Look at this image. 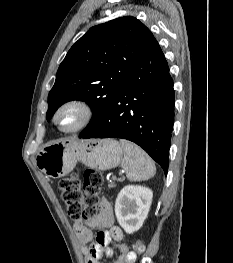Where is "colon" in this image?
<instances>
[{
  "label": "colon",
  "mask_w": 233,
  "mask_h": 263,
  "mask_svg": "<svg viewBox=\"0 0 233 263\" xmlns=\"http://www.w3.org/2000/svg\"><path fill=\"white\" fill-rule=\"evenodd\" d=\"M103 176L95 170H86L82 181L77 174L64 177L59 182L62 200L68 215L74 220L91 219L98 214L99 194L103 186ZM134 252L145 250V242L136 239Z\"/></svg>",
  "instance_id": "5ec220e1"
}]
</instances>
